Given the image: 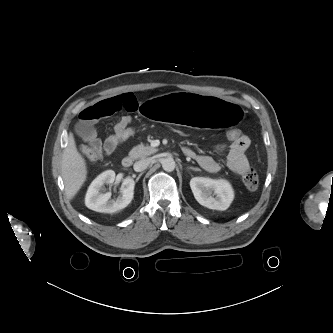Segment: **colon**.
<instances>
[{
  "label": "colon",
  "instance_id": "obj_1",
  "mask_svg": "<svg viewBox=\"0 0 333 333\" xmlns=\"http://www.w3.org/2000/svg\"><path fill=\"white\" fill-rule=\"evenodd\" d=\"M138 130L132 127L130 124L122 126L116 130L117 136L120 142H124L132 139L136 136ZM227 138L230 141H236L240 139L243 134L239 129L230 128L226 132ZM82 154L88 161H98L102 158V153L94 149H82ZM244 186L249 190L257 189L259 185V176L254 168H249L243 175Z\"/></svg>",
  "mask_w": 333,
  "mask_h": 333
}]
</instances>
